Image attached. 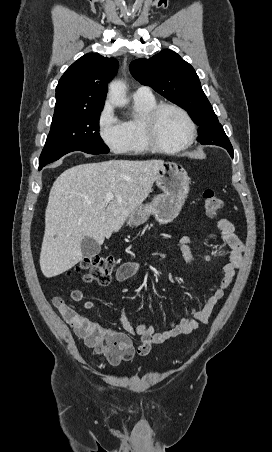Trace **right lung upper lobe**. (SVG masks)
Returning <instances> with one entry per match:
<instances>
[{
    "label": "right lung upper lobe",
    "mask_w": 272,
    "mask_h": 452,
    "mask_svg": "<svg viewBox=\"0 0 272 452\" xmlns=\"http://www.w3.org/2000/svg\"><path fill=\"white\" fill-rule=\"evenodd\" d=\"M118 69L115 58L88 53L74 62L56 87L54 116L103 108L107 83Z\"/></svg>",
    "instance_id": "right-lung-upper-lobe-1"
}]
</instances>
